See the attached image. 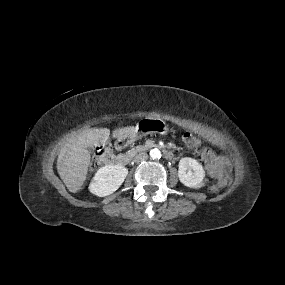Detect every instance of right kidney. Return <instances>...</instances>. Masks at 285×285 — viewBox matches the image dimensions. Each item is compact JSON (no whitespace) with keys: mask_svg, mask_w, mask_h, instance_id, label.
Listing matches in <instances>:
<instances>
[{"mask_svg":"<svg viewBox=\"0 0 285 285\" xmlns=\"http://www.w3.org/2000/svg\"><path fill=\"white\" fill-rule=\"evenodd\" d=\"M128 169L121 164L101 167L89 185V191L99 197L114 193L124 182Z\"/></svg>","mask_w":285,"mask_h":285,"instance_id":"obj_1","label":"right kidney"}]
</instances>
